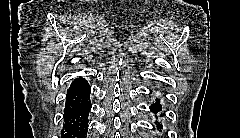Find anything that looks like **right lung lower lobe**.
<instances>
[{"instance_id": "right-lung-lower-lobe-1", "label": "right lung lower lobe", "mask_w": 240, "mask_h": 138, "mask_svg": "<svg viewBox=\"0 0 240 138\" xmlns=\"http://www.w3.org/2000/svg\"><path fill=\"white\" fill-rule=\"evenodd\" d=\"M90 86L77 78L67 91L62 138H85L88 131V112L91 110Z\"/></svg>"}]
</instances>
